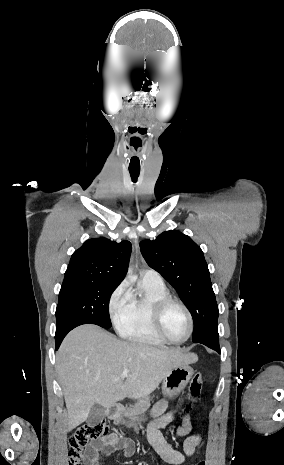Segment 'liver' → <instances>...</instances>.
I'll list each match as a JSON object with an SVG mask.
<instances>
[{"label": "liver", "instance_id": "obj_1", "mask_svg": "<svg viewBox=\"0 0 284 465\" xmlns=\"http://www.w3.org/2000/svg\"><path fill=\"white\" fill-rule=\"evenodd\" d=\"M196 361L197 355H185L181 349L119 341L96 325L77 327L65 337L56 355L67 431L84 423L93 405L114 407L125 397H147L169 371ZM124 369L130 371L128 377H121Z\"/></svg>", "mask_w": 284, "mask_h": 465}]
</instances>
